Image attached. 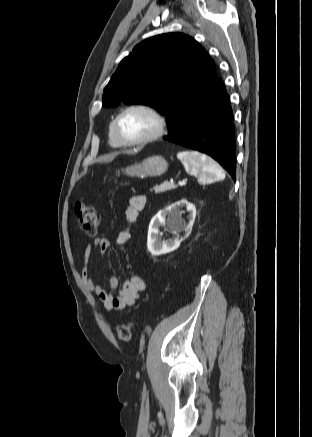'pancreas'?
Instances as JSON below:
<instances>
[{
    "label": "pancreas",
    "mask_w": 312,
    "mask_h": 437,
    "mask_svg": "<svg viewBox=\"0 0 312 437\" xmlns=\"http://www.w3.org/2000/svg\"><path fill=\"white\" fill-rule=\"evenodd\" d=\"M175 188H177V186L174 183L164 182L161 185L154 186L153 190L155 191V193H162V192L173 190Z\"/></svg>",
    "instance_id": "1"
}]
</instances>
